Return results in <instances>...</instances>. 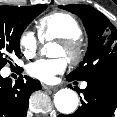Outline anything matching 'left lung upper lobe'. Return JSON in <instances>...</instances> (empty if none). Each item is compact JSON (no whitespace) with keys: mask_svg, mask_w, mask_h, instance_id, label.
<instances>
[{"mask_svg":"<svg viewBox=\"0 0 117 117\" xmlns=\"http://www.w3.org/2000/svg\"><path fill=\"white\" fill-rule=\"evenodd\" d=\"M59 7L78 15L88 34L84 60L68 76L72 80L87 81L95 75L117 71V30L109 19L88 5Z\"/></svg>","mask_w":117,"mask_h":117,"instance_id":"5c2ea615","label":"left lung upper lobe"}]
</instances>
